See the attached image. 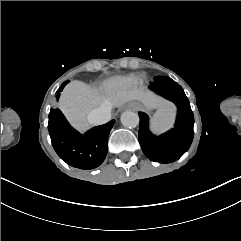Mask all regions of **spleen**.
<instances>
[{"mask_svg": "<svg viewBox=\"0 0 241 241\" xmlns=\"http://www.w3.org/2000/svg\"><path fill=\"white\" fill-rule=\"evenodd\" d=\"M174 112L168 109L158 110L151 119V130L155 134H161L170 128L174 124Z\"/></svg>", "mask_w": 241, "mask_h": 241, "instance_id": "3e777b00", "label": "spleen"}]
</instances>
